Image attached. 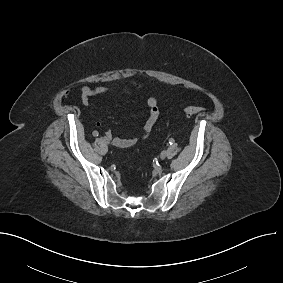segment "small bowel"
Listing matches in <instances>:
<instances>
[{
    "instance_id": "obj_1",
    "label": "small bowel",
    "mask_w": 283,
    "mask_h": 283,
    "mask_svg": "<svg viewBox=\"0 0 283 283\" xmlns=\"http://www.w3.org/2000/svg\"><path fill=\"white\" fill-rule=\"evenodd\" d=\"M108 93H124L127 94L128 90L126 88H114L110 86H97V87H89L83 86L81 88V100L85 106H89L91 104V100L95 96L108 94ZM148 109V116L143 124L141 131L138 136L129 137V138H120V137H112V133L108 131L106 135L112 139V143L115 147L118 148H129L134 146L139 140L146 139L159 118V108L157 100L154 97H149L146 102ZM99 125V123L97 124Z\"/></svg>"
}]
</instances>
